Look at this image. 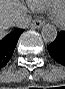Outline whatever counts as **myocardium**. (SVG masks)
Instances as JSON below:
<instances>
[{
    "label": "myocardium",
    "instance_id": "f54148a6",
    "mask_svg": "<svg viewBox=\"0 0 65 89\" xmlns=\"http://www.w3.org/2000/svg\"><path fill=\"white\" fill-rule=\"evenodd\" d=\"M52 16L57 23H64L65 22V6L64 5H57L52 9Z\"/></svg>",
    "mask_w": 65,
    "mask_h": 89
}]
</instances>
